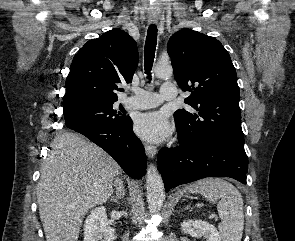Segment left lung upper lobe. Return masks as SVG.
<instances>
[{
  "label": "left lung upper lobe",
  "instance_id": "5c2ea615",
  "mask_svg": "<svg viewBox=\"0 0 295 241\" xmlns=\"http://www.w3.org/2000/svg\"><path fill=\"white\" fill-rule=\"evenodd\" d=\"M175 80L191 92L193 109L174 113L179 138L187 144L222 141L244 148L240 92L231 58L214 37L191 29L171 36L167 46Z\"/></svg>",
  "mask_w": 295,
  "mask_h": 241
}]
</instances>
